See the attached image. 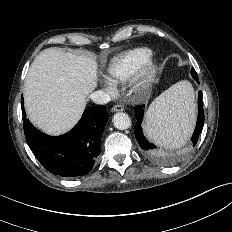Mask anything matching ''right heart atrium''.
Returning a JSON list of instances; mask_svg holds the SVG:
<instances>
[{"label": "right heart atrium", "mask_w": 232, "mask_h": 232, "mask_svg": "<svg viewBox=\"0 0 232 232\" xmlns=\"http://www.w3.org/2000/svg\"><path fill=\"white\" fill-rule=\"evenodd\" d=\"M106 85H107V89L109 91H113L114 90V86L110 82H106Z\"/></svg>", "instance_id": "right-heart-atrium-1"}]
</instances>
